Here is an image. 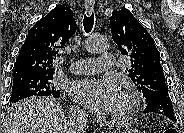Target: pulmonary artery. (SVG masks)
Returning a JSON list of instances; mask_svg holds the SVG:
<instances>
[{
    "label": "pulmonary artery",
    "instance_id": "e3ab8cb5",
    "mask_svg": "<svg viewBox=\"0 0 184 133\" xmlns=\"http://www.w3.org/2000/svg\"><path fill=\"white\" fill-rule=\"evenodd\" d=\"M116 63V58L112 54H102L99 59H80L73 63L70 72L76 74H96L104 69H109Z\"/></svg>",
    "mask_w": 184,
    "mask_h": 133
}]
</instances>
